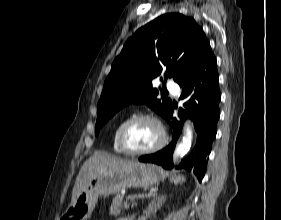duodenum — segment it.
<instances>
[{
    "label": "duodenum",
    "mask_w": 281,
    "mask_h": 220,
    "mask_svg": "<svg viewBox=\"0 0 281 220\" xmlns=\"http://www.w3.org/2000/svg\"><path fill=\"white\" fill-rule=\"evenodd\" d=\"M122 220H130V219H127V218H123Z\"/></svg>",
    "instance_id": "1"
}]
</instances>
